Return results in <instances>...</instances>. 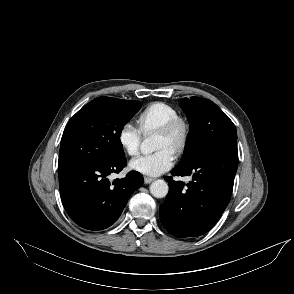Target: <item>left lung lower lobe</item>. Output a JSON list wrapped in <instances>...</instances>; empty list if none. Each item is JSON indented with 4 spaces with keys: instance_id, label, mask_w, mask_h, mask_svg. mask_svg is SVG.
Segmentation results:
<instances>
[{
    "instance_id": "left-lung-lower-lobe-1",
    "label": "left lung lower lobe",
    "mask_w": 294,
    "mask_h": 294,
    "mask_svg": "<svg viewBox=\"0 0 294 294\" xmlns=\"http://www.w3.org/2000/svg\"><path fill=\"white\" fill-rule=\"evenodd\" d=\"M237 167L236 141L215 145L190 166L176 167L173 176L192 175V181L185 186L166 177L169 193L159 209L164 228L176 237L208 232L230 201Z\"/></svg>"
}]
</instances>
